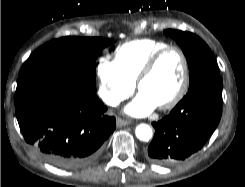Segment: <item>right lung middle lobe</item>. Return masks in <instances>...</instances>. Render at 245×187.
I'll return each instance as SVG.
<instances>
[{
	"label": "right lung middle lobe",
	"mask_w": 245,
	"mask_h": 187,
	"mask_svg": "<svg viewBox=\"0 0 245 187\" xmlns=\"http://www.w3.org/2000/svg\"><path fill=\"white\" fill-rule=\"evenodd\" d=\"M113 43L103 38L63 37L38 48L24 62L18 79L25 76L54 72L96 85V58L102 49Z\"/></svg>",
	"instance_id": "obj_1"
}]
</instances>
